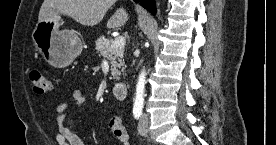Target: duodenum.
<instances>
[{"label": "duodenum", "instance_id": "obj_1", "mask_svg": "<svg viewBox=\"0 0 276 145\" xmlns=\"http://www.w3.org/2000/svg\"><path fill=\"white\" fill-rule=\"evenodd\" d=\"M112 92L117 100H125L127 98L128 87L124 82H117L112 87Z\"/></svg>", "mask_w": 276, "mask_h": 145}]
</instances>
